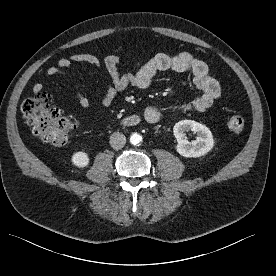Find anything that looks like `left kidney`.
Returning <instances> with one entry per match:
<instances>
[{
    "label": "left kidney",
    "instance_id": "1",
    "mask_svg": "<svg viewBox=\"0 0 276 276\" xmlns=\"http://www.w3.org/2000/svg\"><path fill=\"white\" fill-rule=\"evenodd\" d=\"M192 131L197 134L196 140L189 142L185 132ZM174 136L178 142L176 151L183 157L196 158L208 153L214 146L211 131L205 125L193 120H182L173 128Z\"/></svg>",
    "mask_w": 276,
    "mask_h": 276
}]
</instances>
